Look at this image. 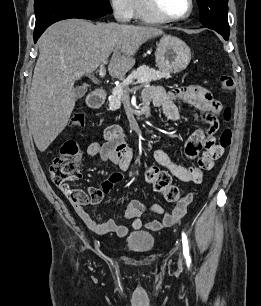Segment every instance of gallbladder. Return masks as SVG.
Wrapping results in <instances>:
<instances>
[{"instance_id": "bac80fb5", "label": "gallbladder", "mask_w": 261, "mask_h": 306, "mask_svg": "<svg viewBox=\"0 0 261 306\" xmlns=\"http://www.w3.org/2000/svg\"><path fill=\"white\" fill-rule=\"evenodd\" d=\"M87 88L84 86H79L75 88V96L76 99L81 98L84 96V94L86 93Z\"/></svg>"}]
</instances>
